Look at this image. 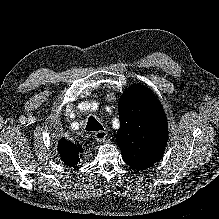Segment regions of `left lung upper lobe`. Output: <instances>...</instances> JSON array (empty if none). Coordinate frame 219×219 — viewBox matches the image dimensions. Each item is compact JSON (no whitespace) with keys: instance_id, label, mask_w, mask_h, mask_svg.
Masks as SVG:
<instances>
[{"instance_id":"5c2ea615","label":"left lung upper lobe","mask_w":219,"mask_h":219,"mask_svg":"<svg viewBox=\"0 0 219 219\" xmlns=\"http://www.w3.org/2000/svg\"><path fill=\"white\" fill-rule=\"evenodd\" d=\"M120 129L116 141L126 164L151 167L164 153L168 125L162 106L145 86L135 84L119 100Z\"/></svg>"}]
</instances>
